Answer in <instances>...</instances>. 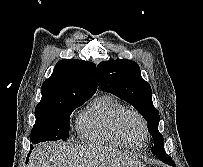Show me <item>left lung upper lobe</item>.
<instances>
[{
	"mask_svg": "<svg viewBox=\"0 0 203 167\" xmlns=\"http://www.w3.org/2000/svg\"><path fill=\"white\" fill-rule=\"evenodd\" d=\"M97 68L100 89L134 106L147 121L148 131L155 140L151 149L155 154L157 148L164 146L163 136L158 131L160 117L152 102L151 87L141 77L139 65L132 60L116 59L103 61Z\"/></svg>",
	"mask_w": 203,
	"mask_h": 167,
	"instance_id": "1",
	"label": "left lung upper lobe"
}]
</instances>
